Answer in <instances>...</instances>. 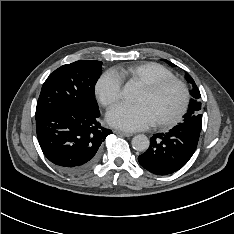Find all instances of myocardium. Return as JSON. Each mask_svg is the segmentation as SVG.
Wrapping results in <instances>:
<instances>
[{"label": "myocardium", "instance_id": "obj_1", "mask_svg": "<svg viewBox=\"0 0 234 234\" xmlns=\"http://www.w3.org/2000/svg\"><path fill=\"white\" fill-rule=\"evenodd\" d=\"M171 85H175L179 87L182 93V101H181L179 108L176 110V112L173 115H171L170 117L164 120L153 123V125L157 128L171 127L181 119V117L186 112L188 104H189V100H190L189 90L187 86L185 85V83H183L181 80L177 78L162 79V80L153 82L151 84L141 86V90L145 94L151 96Z\"/></svg>", "mask_w": 234, "mask_h": 234}]
</instances>
